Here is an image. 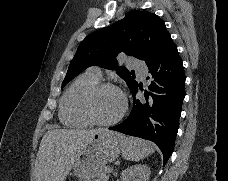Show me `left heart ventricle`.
Wrapping results in <instances>:
<instances>
[{
  "label": "left heart ventricle",
  "instance_id": "left-heart-ventricle-1",
  "mask_svg": "<svg viewBox=\"0 0 228 181\" xmlns=\"http://www.w3.org/2000/svg\"><path fill=\"white\" fill-rule=\"evenodd\" d=\"M122 104V97L117 90L105 88L96 93L93 110L98 118L106 120L116 116Z\"/></svg>",
  "mask_w": 228,
  "mask_h": 181
}]
</instances>
